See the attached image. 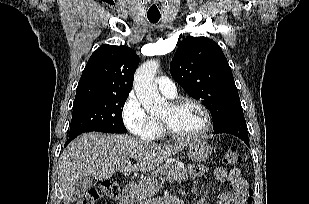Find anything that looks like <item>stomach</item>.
<instances>
[{"instance_id": "1", "label": "stomach", "mask_w": 309, "mask_h": 204, "mask_svg": "<svg viewBox=\"0 0 309 204\" xmlns=\"http://www.w3.org/2000/svg\"><path fill=\"white\" fill-rule=\"evenodd\" d=\"M212 153L211 145L203 139H193L187 145L188 157L196 162H203Z\"/></svg>"}]
</instances>
